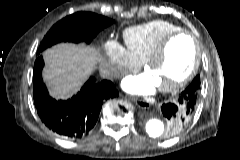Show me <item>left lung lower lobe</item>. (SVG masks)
Instances as JSON below:
<instances>
[{
	"instance_id": "obj_1",
	"label": "left lung lower lobe",
	"mask_w": 240,
	"mask_h": 160,
	"mask_svg": "<svg viewBox=\"0 0 240 160\" xmlns=\"http://www.w3.org/2000/svg\"><path fill=\"white\" fill-rule=\"evenodd\" d=\"M199 97V91H196L194 85H189L177 98L175 102H169L162 105L163 115L174 122V125L189 123L193 117ZM188 118V120H187ZM172 133L178 132L170 128Z\"/></svg>"
}]
</instances>
